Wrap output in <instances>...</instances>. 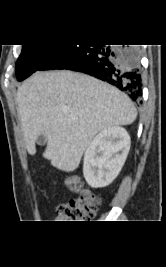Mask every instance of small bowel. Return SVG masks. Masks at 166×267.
Segmentation results:
<instances>
[{
    "instance_id": "1",
    "label": "small bowel",
    "mask_w": 166,
    "mask_h": 267,
    "mask_svg": "<svg viewBox=\"0 0 166 267\" xmlns=\"http://www.w3.org/2000/svg\"><path fill=\"white\" fill-rule=\"evenodd\" d=\"M67 185H68V187H69V189H70L71 191H73V192L76 191V189H74V188L72 187V185H71V181H70V180L67 182Z\"/></svg>"
}]
</instances>
